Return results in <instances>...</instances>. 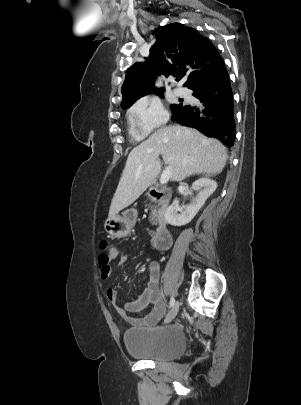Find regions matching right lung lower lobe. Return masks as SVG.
Segmentation results:
<instances>
[{"mask_svg":"<svg viewBox=\"0 0 301 405\" xmlns=\"http://www.w3.org/2000/svg\"><path fill=\"white\" fill-rule=\"evenodd\" d=\"M191 89L202 106L184 104L173 111L172 119L213 136L228 147L233 146L236 135L234 102L225 65L214 78Z\"/></svg>","mask_w":301,"mask_h":405,"instance_id":"obj_1","label":"right lung lower lobe"}]
</instances>
